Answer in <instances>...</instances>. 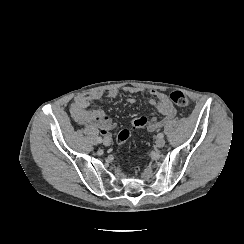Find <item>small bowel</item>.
<instances>
[{
  "instance_id": "obj_1",
  "label": "small bowel",
  "mask_w": 244,
  "mask_h": 244,
  "mask_svg": "<svg viewBox=\"0 0 244 244\" xmlns=\"http://www.w3.org/2000/svg\"><path fill=\"white\" fill-rule=\"evenodd\" d=\"M126 90L130 93L139 91L137 88L131 87L126 88ZM148 93L151 96V99L149 100L150 105L155 106L162 115V118H150L149 126L144 127L148 131L153 132L163 127L168 121L174 119L177 116V109L173 106L164 92L158 89H150ZM118 94L119 91L117 89H111L105 94L103 92H94L87 96L77 97L71 105L70 113H82L87 118L88 125L98 126L100 132L107 135L114 130L115 123L101 109L91 107L90 101L99 99L104 95L109 98H114L118 96ZM128 101L132 104L136 102L134 98H130Z\"/></svg>"
}]
</instances>
